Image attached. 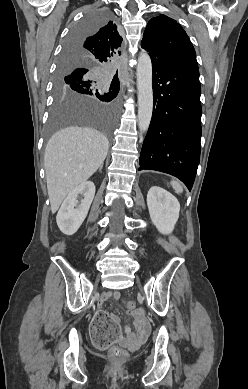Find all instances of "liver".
Here are the masks:
<instances>
[{
  "label": "liver",
  "instance_id": "6515ba94",
  "mask_svg": "<svg viewBox=\"0 0 248 389\" xmlns=\"http://www.w3.org/2000/svg\"><path fill=\"white\" fill-rule=\"evenodd\" d=\"M108 149L107 137L88 127H67L50 138L45 149L44 167L52 213L73 189L97 171Z\"/></svg>",
  "mask_w": 248,
  "mask_h": 389
}]
</instances>
